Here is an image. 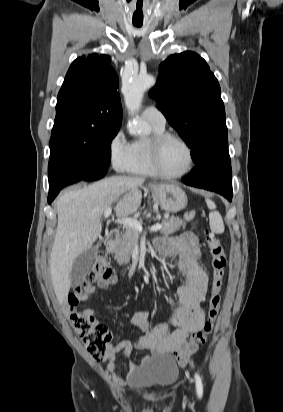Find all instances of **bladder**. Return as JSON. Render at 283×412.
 Masks as SVG:
<instances>
[{"instance_id": "bladder-1", "label": "bladder", "mask_w": 283, "mask_h": 412, "mask_svg": "<svg viewBox=\"0 0 283 412\" xmlns=\"http://www.w3.org/2000/svg\"><path fill=\"white\" fill-rule=\"evenodd\" d=\"M177 363L171 357H161L138 368L129 376V383L137 388H163L178 377Z\"/></svg>"}]
</instances>
